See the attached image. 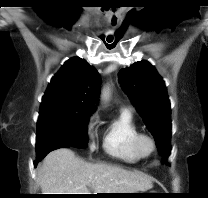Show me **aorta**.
Returning a JSON list of instances; mask_svg holds the SVG:
<instances>
[{
    "label": "aorta",
    "instance_id": "1",
    "mask_svg": "<svg viewBox=\"0 0 208 198\" xmlns=\"http://www.w3.org/2000/svg\"><path fill=\"white\" fill-rule=\"evenodd\" d=\"M102 97L104 99H107L109 97V88H106L103 92H102Z\"/></svg>",
    "mask_w": 208,
    "mask_h": 198
}]
</instances>
